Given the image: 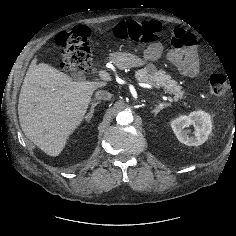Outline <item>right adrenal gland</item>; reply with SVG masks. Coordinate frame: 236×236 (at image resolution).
I'll return each instance as SVG.
<instances>
[{
	"label": "right adrenal gland",
	"mask_w": 236,
	"mask_h": 236,
	"mask_svg": "<svg viewBox=\"0 0 236 236\" xmlns=\"http://www.w3.org/2000/svg\"><path fill=\"white\" fill-rule=\"evenodd\" d=\"M100 104V101L94 102L90 108V112L85 116L87 122H89L94 116L95 107Z\"/></svg>",
	"instance_id": "2a0ac1e0"
}]
</instances>
